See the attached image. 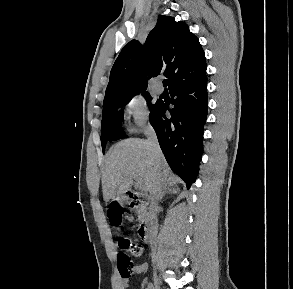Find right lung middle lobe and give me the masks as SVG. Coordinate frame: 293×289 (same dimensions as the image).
<instances>
[{
    "label": "right lung middle lobe",
    "instance_id": "obj_1",
    "mask_svg": "<svg viewBox=\"0 0 293 289\" xmlns=\"http://www.w3.org/2000/svg\"><path fill=\"white\" fill-rule=\"evenodd\" d=\"M134 95L116 97L103 103V117L101 122V144L103 151L107 141H116L126 137L121 128L123 114L116 113L115 111L118 107L127 104ZM143 96L149 105L150 112L153 111L159 102L157 101L155 104H152V98L148 92L143 93Z\"/></svg>",
    "mask_w": 293,
    "mask_h": 289
}]
</instances>
